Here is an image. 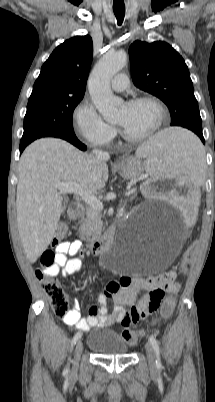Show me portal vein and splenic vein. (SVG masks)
I'll use <instances>...</instances> for the list:
<instances>
[{
    "instance_id": "18ae733b",
    "label": "portal vein and splenic vein",
    "mask_w": 215,
    "mask_h": 402,
    "mask_svg": "<svg viewBox=\"0 0 215 402\" xmlns=\"http://www.w3.org/2000/svg\"><path fill=\"white\" fill-rule=\"evenodd\" d=\"M56 187L59 189L61 194L66 193H75L80 196L90 208L101 211L103 209L102 202L96 198L92 193L87 190H84L80 185L75 183H57ZM136 189L128 188V192L126 195H130L131 193L135 192Z\"/></svg>"
}]
</instances>
